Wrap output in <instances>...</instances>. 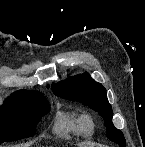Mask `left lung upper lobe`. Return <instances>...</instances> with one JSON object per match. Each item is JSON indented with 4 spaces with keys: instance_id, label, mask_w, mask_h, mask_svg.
I'll use <instances>...</instances> for the list:
<instances>
[{
    "instance_id": "1",
    "label": "left lung upper lobe",
    "mask_w": 145,
    "mask_h": 147,
    "mask_svg": "<svg viewBox=\"0 0 145 147\" xmlns=\"http://www.w3.org/2000/svg\"><path fill=\"white\" fill-rule=\"evenodd\" d=\"M52 90L56 96L82 102L97 111L104 119L107 137L120 147H125L126 141L122 131L112 123L113 112L107 100L106 90L100 83L92 80L88 73L52 84Z\"/></svg>"
}]
</instances>
